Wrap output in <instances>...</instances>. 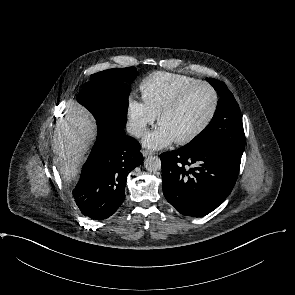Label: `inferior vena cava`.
I'll list each match as a JSON object with an SVG mask.
<instances>
[{
  "instance_id": "1",
  "label": "inferior vena cava",
  "mask_w": 295,
  "mask_h": 295,
  "mask_svg": "<svg viewBox=\"0 0 295 295\" xmlns=\"http://www.w3.org/2000/svg\"><path fill=\"white\" fill-rule=\"evenodd\" d=\"M126 129H127V132L130 133L131 135L139 137L144 132L145 126L142 123H139V122H129L127 124Z\"/></svg>"
}]
</instances>
